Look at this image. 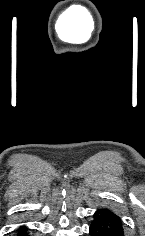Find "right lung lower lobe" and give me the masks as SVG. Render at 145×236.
I'll list each match as a JSON object with an SVG mask.
<instances>
[{
	"label": "right lung lower lobe",
	"instance_id": "1",
	"mask_svg": "<svg viewBox=\"0 0 145 236\" xmlns=\"http://www.w3.org/2000/svg\"><path fill=\"white\" fill-rule=\"evenodd\" d=\"M27 228L25 226H21L18 230H17V235L18 236H28L27 235Z\"/></svg>",
	"mask_w": 145,
	"mask_h": 236
}]
</instances>
